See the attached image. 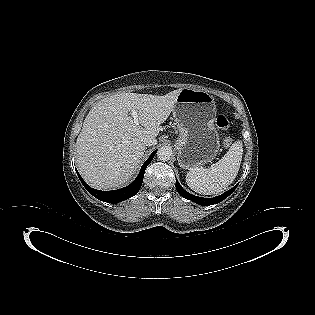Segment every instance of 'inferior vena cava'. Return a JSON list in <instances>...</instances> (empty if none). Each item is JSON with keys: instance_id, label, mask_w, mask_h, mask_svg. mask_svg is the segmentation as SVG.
<instances>
[{"instance_id": "obj_1", "label": "inferior vena cava", "mask_w": 315, "mask_h": 315, "mask_svg": "<svg viewBox=\"0 0 315 315\" xmlns=\"http://www.w3.org/2000/svg\"><path fill=\"white\" fill-rule=\"evenodd\" d=\"M142 143L145 145V146H152L153 144H155V139L151 138V137H145L143 140H142Z\"/></svg>"}]
</instances>
